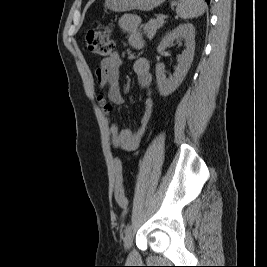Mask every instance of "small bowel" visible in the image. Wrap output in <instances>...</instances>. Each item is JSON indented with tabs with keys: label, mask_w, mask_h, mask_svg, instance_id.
Wrapping results in <instances>:
<instances>
[{
	"label": "small bowel",
	"mask_w": 267,
	"mask_h": 267,
	"mask_svg": "<svg viewBox=\"0 0 267 267\" xmlns=\"http://www.w3.org/2000/svg\"><path fill=\"white\" fill-rule=\"evenodd\" d=\"M141 22L140 16L133 14L123 15L119 19L120 28L128 33V42L135 49H141L144 45L143 35L140 31ZM121 62L122 59L119 53L114 52L109 58L103 59L100 62L95 73L98 85L101 88H107L106 97L99 95L97 99L108 120L111 118L113 106L121 105L124 102L119 82ZM133 70L137 76L139 86L147 95L140 126L136 131H132L128 128L120 129L115 123L109 124L113 147L127 152L135 151L138 148L153 109L151 98L152 75L150 73L149 61L144 57L137 58L134 61Z\"/></svg>",
	"instance_id": "small-bowel-1"
}]
</instances>
